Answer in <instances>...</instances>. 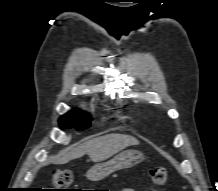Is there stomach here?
<instances>
[{
	"instance_id": "stomach-1",
	"label": "stomach",
	"mask_w": 218,
	"mask_h": 191,
	"mask_svg": "<svg viewBox=\"0 0 218 191\" xmlns=\"http://www.w3.org/2000/svg\"><path fill=\"white\" fill-rule=\"evenodd\" d=\"M143 160V155L134 150L124 151L109 161L95 164L86 174L91 181H99L110 175L111 173L131 168Z\"/></svg>"
}]
</instances>
